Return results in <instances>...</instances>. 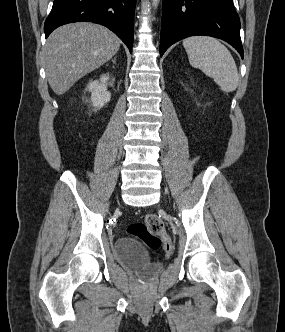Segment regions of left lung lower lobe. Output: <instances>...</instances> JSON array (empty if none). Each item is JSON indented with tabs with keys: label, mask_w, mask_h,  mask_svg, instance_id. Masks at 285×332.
<instances>
[{
	"label": "left lung lower lobe",
	"mask_w": 285,
	"mask_h": 332,
	"mask_svg": "<svg viewBox=\"0 0 285 332\" xmlns=\"http://www.w3.org/2000/svg\"><path fill=\"white\" fill-rule=\"evenodd\" d=\"M195 35L225 40L243 58L240 19L232 0H163L160 56L173 43Z\"/></svg>",
	"instance_id": "obj_1"
}]
</instances>
